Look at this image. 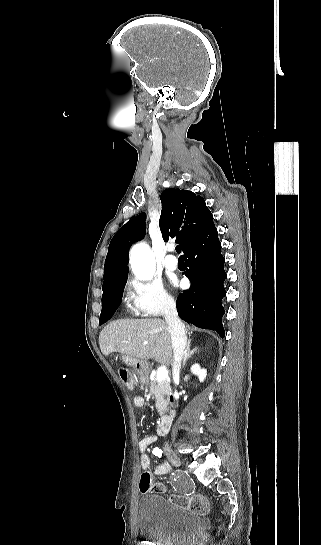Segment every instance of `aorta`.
<instances>
[{
    "instance_id": "obj_1",
    "label": "aorta",
    "mask_w": 321,
    "mask_h": 545,
    "mask_svg": "<svg viewBox=\"0 0 321 545\" xmlns=\"http://www.w3.org/2000/svg\"><path fill=\"white\" fill-rule=\"evenodd\" d=\"M133 273L140 280H149L155 272V260L148 245L138 243L130 251Z\"/></svg>"
}]
</instances>
